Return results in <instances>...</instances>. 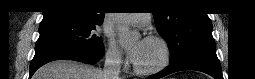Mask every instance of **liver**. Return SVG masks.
<instances>
[{
    "label": "liver",
    "instance_id": "obj_1",
    "mask_svg": "<svg viewBox=\"0 0 255 79\" xmlns=\"http://www.w3.org/2000/svg\"><path fill=\"white\" fill-rule=\"evenodd\" d=\"M33 79H104L103 71L72 60H57L39 68Z\"/></svg>",
    "mask_w": 255,
    "mask_h": 79
}]
</instances>
